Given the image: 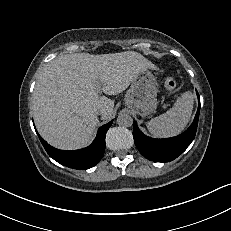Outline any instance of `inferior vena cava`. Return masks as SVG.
Listing matches in <instances>:
<instances>
[{"label": "inferior vena cava", "mask_w": 231, "mask_h": 231, "mask_svg": "<svg viewBox=\"0 0 231 231\" xmlns=\"http://www.w3.org/2000/svg\"><path fill=\"white\" fill-rule=\"evenodd\" d=\"M103 113V109L97 110V115H101Z\"/></svg>", "instance_id": "602c4592"}]
</instances>
